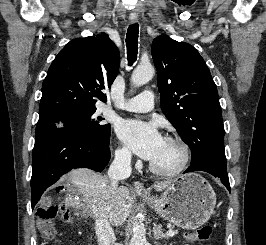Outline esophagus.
Masks as SVG:
<instances>
[{
	"instance_id": "obj_1",
	"label": "esophagus",
	"mask_w": 266,
	"mask_h": 245,
	"mask_svg": "<svg viewBox=\"0 0 266 245\" xmlns=\"http://www.w3.org/2000/svg\"><path fill=\"white\" fill-rule=\"evenodd\" d=\"M138 20V15L135 14V13H131L129 15V22L130 23H135L137 22ZM134 190L136 192V194L138 195H147L148 192L146 190V188L144 187L143 183H140V182H136L135 185H134Z\"/></svg>"
}]
</instances>
